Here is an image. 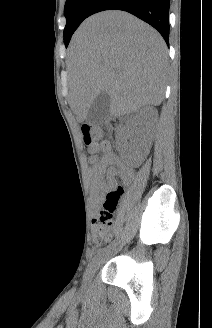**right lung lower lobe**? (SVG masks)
Listing matches in <instances>:
<instances>
[{"instance_id":"right-lung-lower-lobe-1","label":"right lung lower lobe","mask_w":212,"mask_h":328,"mask_svg":"<svg viewBox=\"0 0 212 328\" xmlns=\"http://www.w3.org/2000/svg\"><path fill=\"white\" fill-rule=\"evenodd\" d=\"M169 7L170 0H96L88 16L105 10L129 12L153 26L168 44Z\"/></svg>"}]
</instances>
